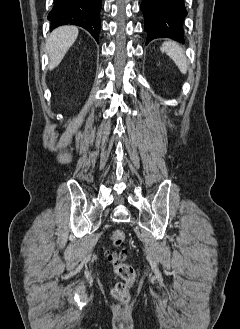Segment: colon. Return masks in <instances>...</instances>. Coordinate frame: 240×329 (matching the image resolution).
Wrapping results in <instances>:
<instances>
[{
  "label": "colon",
  "instance_id": "1",
  "mask_svg": "<svg viewBox=\"0 0 240 329\" xmlns=\"http://www.w3.org/2000/svg\"><path fill=\"white\" fill-rule=\"evenodd\" d=\"M110 238L115 247H120L125 240V233L122 230H115L111 233ZM128 253L126 249H122L117 253L108 254L109 262L121 278V281L113 288V295L122 301H127L129 299V290L136 277L134 268L122 262V260L127 257Z\"/></svg>",
  "mask_w": 240,
  "mask_h": 329
}]
</instances>
